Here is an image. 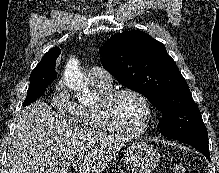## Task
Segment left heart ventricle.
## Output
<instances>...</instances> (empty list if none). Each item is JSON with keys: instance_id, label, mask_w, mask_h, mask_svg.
<instances>
[{"instance_id": "left-heart-ventricle-1", "label": "left heart ventricle", "mask_w": 219, "mask_h": 173, "mask_svg": "<svg viewBox=\"0 0 219 173\" xmlns=\"http://www.w3.org/2000/svg\"><path fill=\"white\" fill-rule=\"evenodd\" d=\"M113 114L118 125L127 131L139 129L145 118V107L134 95L120 96L113 106Z\"/></svg>"}]
</instances>
